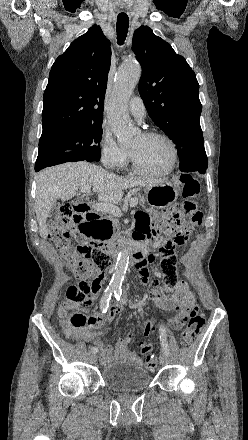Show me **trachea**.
Here are the masks:
<instances>
[{
    "instance_id": "1",
    "label": "trachea",
    "mask_w": 248,
    "mask_h": 440,
    "mask_svg": "<svg viewBox=\"0 0 248 440\" xmlns=\"http://www.w3.org/2000/svg\"><path fill=\"white\" fill-rule=\"evenodd\" d=\"M128 28H129L128 16L124 13L119 14L116 23L117 40L119 45L124 44V41L127 37Z\"/></svg>"
}]
</instances>
